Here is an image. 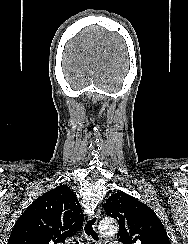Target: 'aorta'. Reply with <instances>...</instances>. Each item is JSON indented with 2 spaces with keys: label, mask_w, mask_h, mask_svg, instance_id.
Here are the masks:
<instances>
[{
  "label": "aorta",
  "mask_w": 188,
  "mask_h": 244,
  "mask_svg": "<svg viewBox=\"0 0 188 244\" xmlns=\"http://www.w3.org/2000/svg\"><path fill=\"white\" fill-rule=\"evenodd\" d=\"M99 231L103 235H114L118 231V225L113 218H105L99 224Z\"/></svg>",
  "instance_id": "aorta-1"
}]
</instances>
